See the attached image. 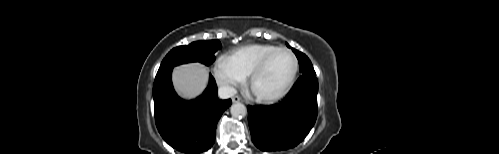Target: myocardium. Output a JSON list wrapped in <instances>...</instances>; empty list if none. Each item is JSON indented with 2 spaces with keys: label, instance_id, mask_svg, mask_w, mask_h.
Here are the masks:
<instances>
[{
  "label": "myocardium",
  "instance_id": "obj_1",
  "mask_svg": "<svg viewBox=\"0 0 499 154\" xmlns=\"http://www.w3.org/2000/svg\"><path fill=\"white\" fill-rule=\"evenodd\" d=\"M279 52H285V53L289 54L293 60V70H292V73H291L287 83L278 93H276L272 96H262V95L256 94L253 91L254 82L265 71L270 60ZM298 70H299V62H298V59L295 56V54L287 48H284V47L277 48V49L273 50L272 52H270L269 54H267L261 60V62L253 69V71L250 73V75L248 76V87L258 101L263 102V103H267V104L275 103V102L279 101L281 98H283L289 92V90L291 89V87L295 81Z\"/></svg>",
  "mask_w": 499,
  "mask_h": 154
}]
</instances>
